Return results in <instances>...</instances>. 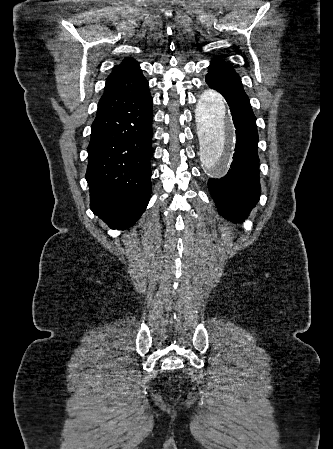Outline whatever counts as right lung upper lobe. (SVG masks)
Segmentation results:
<instances>
[{"label": "right lung upper lobe", "mask_w": 333, "mask_h": 449, "mask_svg": "<svg viewBox=\"0 0 333 449\" xmlns=\"http://www.w3.org/2000/svg\"><path fill=\"white\" fill-rule=\"evenodd\" d=\"M148 88V82L133 58H126L119 66L113 68L106 80V86L101 97L97 115L113 110L130 99L140 95Z\"/></svg>", "instance_id": "right-lung-upper-lobe-1"}]
</instances>
